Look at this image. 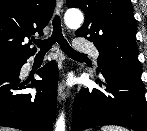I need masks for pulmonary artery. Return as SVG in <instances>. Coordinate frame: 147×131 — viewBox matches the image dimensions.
<instances>
[{"label":"pulmonary artery","instance_id":"1","mask_svg":"<svg viewBox=\"0 0 147 131\" xmlns=\"http://www.w3.org/2000/svg\"><path fill=\"white\" fill-rule=\"evenodd\" d=\"M74 46L77 51L90 53L95 60H97L99 57L98 50L91 43L76 40L74 42Z\"/></svg>","mask_w":147,"mask_h":131}]
</instances>
